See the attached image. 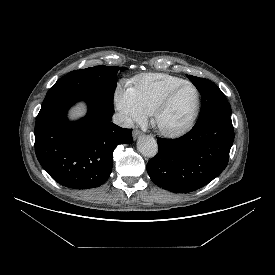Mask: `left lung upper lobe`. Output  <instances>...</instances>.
Listing matches in <instances>:
<instances>
[{
  "label": "left lung upper lobe",
  "mask_w": 275,
  "mask_h": 275,
  "mask_svg": "<svg viewBox=\"0 0 275 275\" xmlns=\"http://www.w3.org/2000/svg\"><path fill=\"white\" fill-rule=\"evenodd\" d=\"M202 96V109L196 123L211 118L230 117L231 107L222 91L210 80L189 75Z\"/></svg>",
  "instance_id": "5c2ea615"
}]
</instances>
